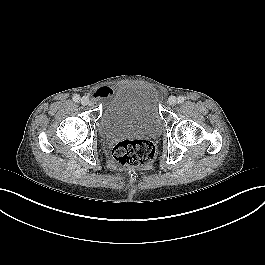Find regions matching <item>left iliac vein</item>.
<instances>
[{
  "label": "left iliac vein",
  "mask_w": 265,
  "mask_h": 265,
  "mask_svg": "<svg viewBox=\"0 0 265 265\" xmlns=\"http://www.w3.org/2000/svg\"><path fill=\"white\" fill-rule=\"evenodd\" d=\"M176 103H177V99H176V97H174V96H170V97L168 98V104H169V105L174 106Z\"/></svg>",
  "instance_id": "left-iliac-vein-1"
}]
</instances>
